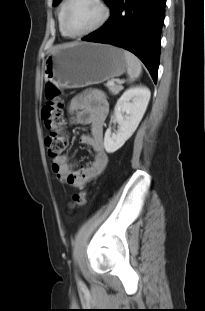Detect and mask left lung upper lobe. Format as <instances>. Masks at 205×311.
<instances>
[{"label":"left lung upper lobe","mask_w":205,"mask_h":311,"mask_svg":"<svg viewBox=\"0 0 205 311\" xmlns=\"http://www.w3.org/2000/svg\"><path fill=\"white\" fill-rule=\"evenodd\" d=\"M105 1L111 8V6L113 5L114 0H105ZM59 2H60V0H54L53 5H57Z\"/></svg>","instance_id":"5c2ea615"}]
</instances>
